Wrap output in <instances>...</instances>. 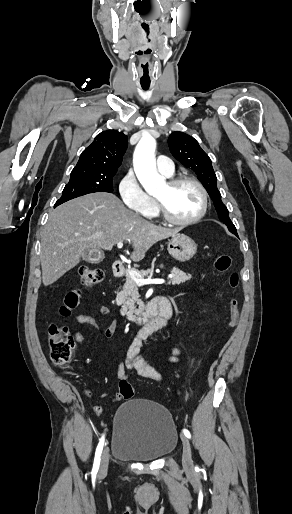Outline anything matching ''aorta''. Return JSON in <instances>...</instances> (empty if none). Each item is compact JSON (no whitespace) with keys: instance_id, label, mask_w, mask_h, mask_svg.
I'll return each instance as SVG.
<instances>
[{"instance_id":"1","label":"aorta","mask_w":292,"mask_h":514,"mask_svg":"<svg viewBox=\"0 0 292 514\" xmlns=\"http://www.w3.org/2000/svg\"><path fill=\"white\" fill-rule=\"evenodd\" d=\"M156 142L152 136L145 134L134 152V172L147 194L154 196L157 188L165 186V178L156 172L154 152Z\"/></svg>"}]
</instances>
